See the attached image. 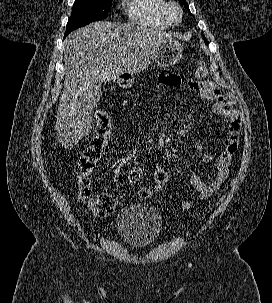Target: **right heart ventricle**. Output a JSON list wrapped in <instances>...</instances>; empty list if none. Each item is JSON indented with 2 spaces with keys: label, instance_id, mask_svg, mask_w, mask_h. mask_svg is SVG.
Returning a JSON list of instances; mask_svg holds the SVG:
<instances>
[{
  "label": "right heart ventricle",
  "instance_id": "right-heart-ventricle-1",
  "mask_svg": "<svg viewBox=\"0 0 272 303\" xmlns=\"http://www.w3.org/2000/svg\"><path fill=\"white\" fill-rule=\"evenodd\" d=\"M165 0H127L126 11L130 20L140 26L166 29L169 24L163 18Z\"/></svg>",
  "mask_w": 272,
  "mask_h": 303
}]
</instances>
